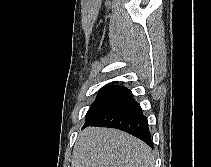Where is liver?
<instances>
[{
	"instance_id": "obj_1",
	"label": "liver",
	"mask_w": 211,
	"mask_h": 167,
	"mask_svg": "<svg viewBox=\"0 0 211 167\" xmlns=\"http://www.w3.org/2000/svg\"><path fill=\"white\" fill-rule=\"evenodd\" d=\"M143 141L116 129L88 127L80 132L72 167H154Z\"/></svg>"
}]
</instances>
